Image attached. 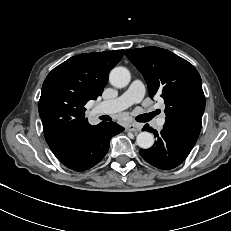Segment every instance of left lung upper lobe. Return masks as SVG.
<instances>
[{
  "label": "left lung upper lobe",
  "mask_w": 231,
  "mask_h": 231,
  "mask_svg": "<svg viewBox=\"0 0 231 231\" xmlns=\"http://www.w3.org/2000/svg\"><path fill=\"white\" fill-rule=\"evenodd\" d=\"M126 56L144 76L151 98L156 93L166 104L165 124L198 138L205 97L198 71L188 61L158 47L128 49Z\"/></svg>",
  "instance_id": "obj_1"
}]
</instances>
